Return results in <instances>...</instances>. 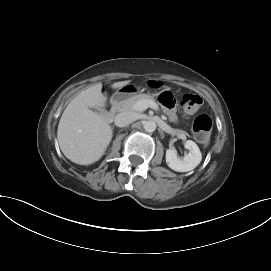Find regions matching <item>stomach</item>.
<instances>
[{"mask_svg": "<svg viewBox=\"0 0 271 271\" xmlns=\"http://www.w3.org/2000/svg\"><path fill=\"white\" fill-rule=\"evenodd\" d=\"M138 88L134 85L127 84L120 87L113 95L114 101H119L125 98H128L134 95L137 92Z\"/></svg>", "mask_w": 271, "mask_h": 271, "instance_id": "1", "label": "stomach"}]
</instances>
